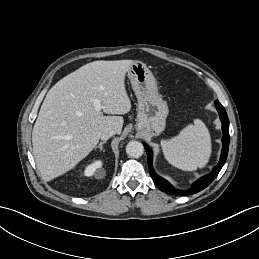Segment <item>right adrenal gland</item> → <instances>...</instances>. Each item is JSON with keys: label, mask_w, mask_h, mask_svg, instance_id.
<instances>
[{"label": "right adrenal gland", "mask_w": 259, "mask_h": 259, "mask_svg": "<svg viewBox=\"0 0 259 259\" xmlns=\"http://www.w3.org/2000/svg\"><path fill=\"white\" fill-rule=\"evenodd\" d=\"M105 143H106V141L100 142L99 145L95 147V150H96L97 148H99L100 151H103V152H104L103 144H105Z\"/></svg>", "instance_id": "2a0ac1e0"}]
</instances>
